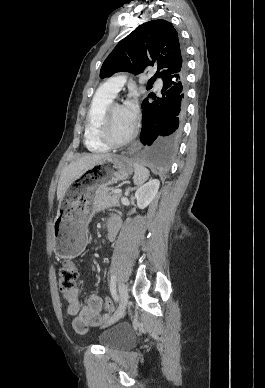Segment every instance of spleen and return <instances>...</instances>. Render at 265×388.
Instances as JSON below:
<instances>
[{
  "mask_svg": "<svg viewBox=\"0 0 265 388\" xmlns=\"http://www.w3.org/2000/svg\"><path fill=\"white\" fill-rule=\"evenodd\" d=\"M133 168H134L133 182L135 186H141V184H144V182L148 180L149 170H147V168H144V166H140V164H133Z\"/></svg>",
  "mask_w": 265,
  "mask_h": 388,
  "instance_id": "1",
  "label": "spleen"
}]
</instances>
